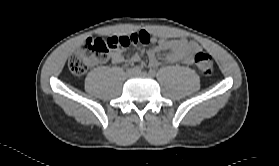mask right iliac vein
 Wrapping results in <instances>:
<instances>
[{
	"instance_id": "1",
	"label": "right iliac vein",
	"mask_w": 279,
	"mask_h": 166,
	"mask_svg": "<svg viewBox=\"0 0 279 166\" xmlns=\"http://www.w3.org/2000/svg\"><path fill=\"white\" fill-rule=\"evenodd\" d=\"M134 75H136V72L133 69L128 70L126 73L127 77H132Z\"/></svg>"
}]
</instances>
